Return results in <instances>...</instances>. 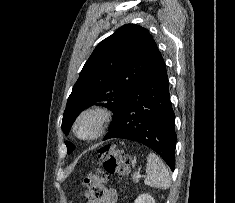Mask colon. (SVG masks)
Masks as SVG:
<instances>
[{
	"label": "colon",
	"instance_id": "1",
	"mask_svg": "<svg viewBox=\"0 0 235 203\" xmlns=\"http://www.w3.org/2000/svg\"><path fill=\"white\" fill-rule=\"evenodd\" d=\"M129 172L126 153L114 145L106 144L98 150V167L82 181L84 194L92 199L102 198L106 193V182L110 174L123 178Z\"/></svg>",
	"mask_w": 235,
	"mask_h": 203
}]
</instances>
